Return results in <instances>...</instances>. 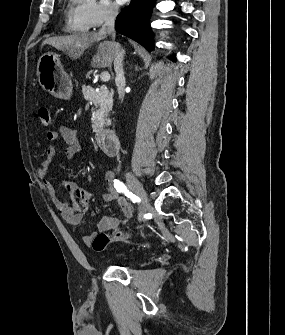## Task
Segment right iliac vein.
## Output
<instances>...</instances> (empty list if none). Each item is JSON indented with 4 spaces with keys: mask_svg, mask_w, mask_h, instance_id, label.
<instances>
[{
    "mask_svg": "<svg viewBox=\"0 0 285 335\" xmlns=\"http://www.w3.org/2000/svg\"><path fill=\"white\" fill-rule=\"evenodd\" d=\"M128 186L136 195L140 198L142 202V212L139 215V221L143 220V216L146 212L150 210V204L146 192L138 179H136L131 172L125 174Z\"/></svg>",
    "mask_w": 285,
    "mask_h": 335,
    "instance_id": "63e3f726",
    "label": "right iliac vein"
}]
</instances>
